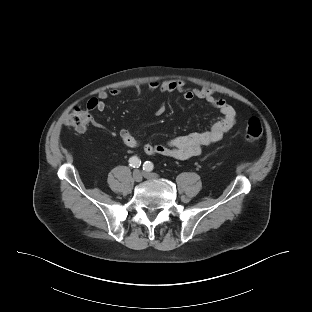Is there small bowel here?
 Listing matches in <instances>:
<instances>
[{
  "label": "small bowel",
  "mask_w": 312,
  "mask_h": 312,
  "mask_svg": "<svg viewBox=\"0 0 312 312\" xmlns=\"http://www.w3.org/2000/svg\"><path fill=\"white\" fill-rule=\"evenodd\" d=\"M135 91L139 94L141 91L140 87L136 86ZM148 91L151 93L157 91L162 93H180L186 100H204L211 107L220 112V117L213 122L210 129L206 132L177 136L164 144L142 143V141L130 130H120L119 136L126 146H141L147 155H160L178 160H184L197 156L204 148L217 143L234 127L236 123V113L234 108L223 98L218 96L216 91L211 88H190L186 86L184 81L172 79L164 81H151L148 84ZM121 94L122 92L119 89L101 91L97 97L88 101L87 108L90 111H104L107 107L106 101L110 97H118ZM165 110L166 104L162 103L157 108L156 114L161 115L165 112ZM90 120L91 119L89 118V121Z\"/></svg>",
  "instance_id": "c3829d8e"
}]
</instances>
